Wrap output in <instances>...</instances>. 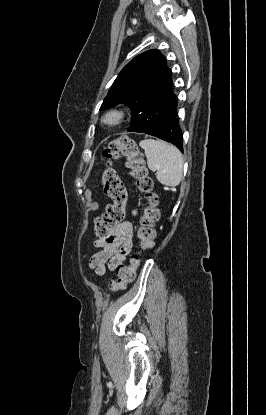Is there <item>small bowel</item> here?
I'll return each mask as SVG.
<instances>
[{
	"label": "small bowel",
	"mask_w": 266,
	"mask_h": 415,
	"mask_svg": "<svg viewBox=\"0 0 266 415\" xmlns=\"http://www.w3.org/2000/svg\"><path fill=\"white\" fill-rule=\"evenodd\" d=\"M137 210H133V215ZM134 227L130 221L118 224L107 238L98 239L94 246L100 248L90 260V267L102 276L117 269L127 258L133 246Z\"/></svg>",
	"instance_id": "small-bowel-1"
}]
</instances>
